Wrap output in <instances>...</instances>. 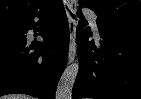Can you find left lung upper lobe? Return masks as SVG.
Wrapping results in <instances>:
<instances>
[{"instance_id":"left-lung-upper-lobe-1","label":"left lung upper lobe","mask_w":141,"mask_h":99,"mask_svg":"<svg viewBox=\"0 0 141 99\" xmlns=\"http://www.w3.org/2000/svg\"><path fill=\"white\" fill-rule=\"evenodd\" d=\"M80 6L88 7L97 18L118 25L141 26L139 0H80Z\"/></svg>"}]
</instances>
